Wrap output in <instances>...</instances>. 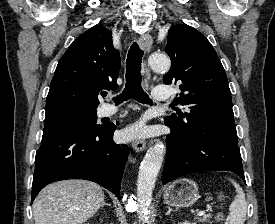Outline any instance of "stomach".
Masks as SVG:
<instances>
[{"mask_svg": "<svg viewBox=\"0 0 275 224\" xmlns=\"http://www.w3.org/2000/svg\"><path fill=\"white\" fill-rule=\"evenodd\" d=\"M163 198L165 203L170 206L190 207L199 198L197 184L188 178L178 179L166 187Z\"/></svg>", "mask_w": 275, "mask_h": 224, "instance_id": "0dacf381", "label": "stomach"}]
</instances>
